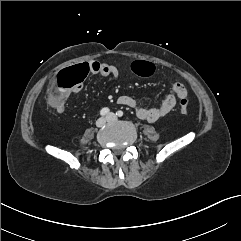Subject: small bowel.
Masks as SVG:
<instances>
[{
  "label": "small bowel",
  "instance_id": "small-bowel-1",
  "mask_svg": "<svg viewBox=\"0 0 241 241\" xmlns=\"http://www.w3.org/2000/svg\"><path fill=\"white\" fill-rule=\"evenodd\" d=\"M91 67V73L98 74L102 77L117 78L119 76V70L116 66L98 62V61H87ZM82 84L77 85L72 91L77 93L81 91ZM180 90H184L187 93L185 86L182 83H175L170 93L166 96L160 106L145 108L138 106L136 100L128 95H121L117 98V103L122 106H127L135 109L136 115L142 120L148 122H155L158 119L166 116L170 113L176 105L177 97H179ZM68 93L65 94L64 101L62 103L50 104L58 113L63 114L65 112V102L68 97Z\"/></svg>",
  "mask_w": 241,
  "mask_h": 241
}]
</instances>
